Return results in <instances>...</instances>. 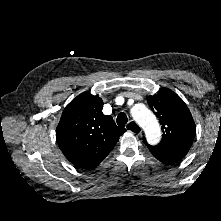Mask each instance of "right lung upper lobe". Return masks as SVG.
<instances>
[{"label": "right lung upper lobe", "instance_id": "right-lung-upper-lobe-1", "mask_svg": "<svg viewBox=\"0 0 221 221\" xmlns=\"http://www.w3.org/2000/svg\"><path fill=\"white\" fill-rule=\"evenodd\" d=\"M100 97L82 93L64 109L56 129L57 143L77 167L94 168L111 152L126 131L102 113Z\"/></svg>", "mask_w": 221, "mask_h": 221}]
</instances>
